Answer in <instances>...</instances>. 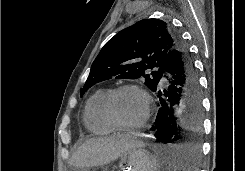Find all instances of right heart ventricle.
Instances as JSON below:
<instances>
[{"label":"right heart ventricle","mask_w":245,"mask_h":171,"mask_svg":"<svg viewBox=\"0 0 245 171\" xmlns=\"http://www.w3.org/2000/svg\"><path fill=\"white\" fill-rule=\"evenodd\" d=\"M107 92L106 88L96 90L85 104L83 122L87 130L93 134H109L115 130L105 119L101 110V103Z\"/></svg>","instance_id":"obj_1"}]
</instances>
